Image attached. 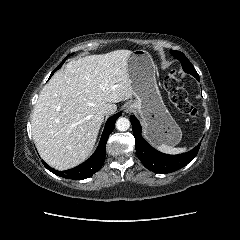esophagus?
<instances>
[{
  "label": "esophagus",
  "mask_w": 240,
  "mask_h": 240,
  "mask_svg": "<svg viewBox=\"0 0 240 240\" xmlns=\"http://www.w3.org/2000/svg\"><path fill=\"white\" fill-rule=\"evenodd\" d=\"M134 105L133 104H128V105H126V107H125V113H132V112H134Z\"/></svg>",
  "instance_id": "1"
}]
</instances>
